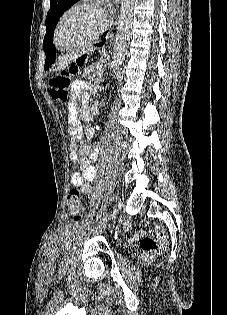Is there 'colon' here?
<instances>
[{
    "label": "colon",
    "mask_w": 227,
    "mask_h": 315,
    "mask_svg": "<svg viewBox=\"0 0 227 315\" xmlns=\"http://www.w3.org/2000/svg\"><path fill=\"white\" fill-rule=\"evenodd\" d=\"M84 60L78 58L74 63L56 73L49 81V87L53 98L60 102H65L68 98L69 87L72 78L79 72L83 66ZM67 208L70 214L80 220L84 215V205L77 189H71L67 196ZM155 235H148L139 232L136 237L139 238L142 255L147 258H154L159 255L166 246L168 235L162 224H156L154 227Z\"/></svg>",
    "instance_id": "obj_1"
}]
</instances>
